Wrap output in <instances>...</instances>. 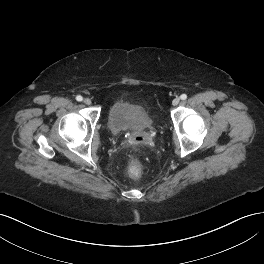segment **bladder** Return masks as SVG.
I'll return each mask as SVG.
<instances>
[{
    "label": "bladder",
    "instance_id": "1",
    "mask_svg": "<svg viewBox=\"0 0 264 264\" xmlns=\"http://www.w3.org/2000/svg\"><path fill=\"white\" fill-rule=\"evenodd\" d=\"M107 124L113 133L145 130L152 126L150 112L143 106L125 99L113 102L107 111Z\"/></svg>",
    "mask_w": 264,
    "mask_h": 264
}]
</instances>
